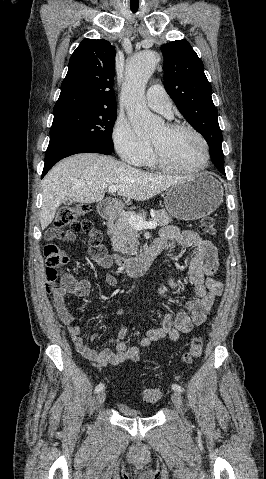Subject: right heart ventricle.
I'll use <instances>...</instances> for the list:
<instances>
[{"label":"right heart ventricle","instance_id":"e07e8e85","mask_svg":"<svg viewBox=\"0 0 266 479\" xmlns=\"http://www.w3.org/2000/svg\"><path fill=\"white\" fill-rule=\"evenodd\" d=\"M143 166H145V167H147L151 170L158 169V166H157V164H156L152 155L146 160V162L143 164Z\"/></svg>","mask_w":266,"mask_h":479}]
</instances>
